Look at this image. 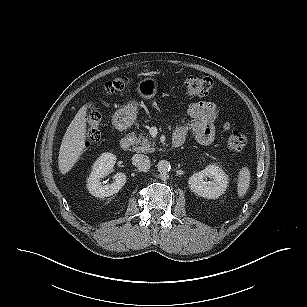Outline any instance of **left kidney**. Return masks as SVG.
Wrapping results in <instances>:
<instances>
[{
	"label": "left kidney",
	"mask_w": 307,
	"mask_h": 307,
	"mask_svg": "<svg viewBox=\"0 0 307 307\" xmlns=\"http://www.w3.org/2000/svg\"><path fill=\"white\" fill-rule=\"evenodd\" d=\"M207 177L211 180H205ZM188 184L190 189L197 195L215 199L226 191L228 176L219 166L210 164L204 170L194 173L189 178Z\"/></svg>",
	"instance_id": "obj_1"
}]
</instances>
